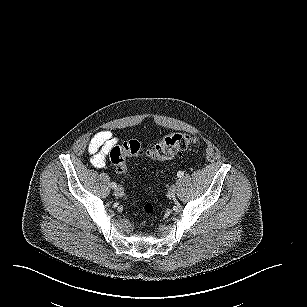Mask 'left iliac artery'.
<instances>
[{"mask_svg":"<svg viewBox=\"0 0 307 307\" xmlns=\"http://www.w3.org/2000/svg\"><path fill=\"white\" fill-rule=\"evenodd\" d=\"M177 176H178L179 178H181V177L184 176V173H183L182 171H179V172L177 173Z\"/></svg>","mask_w":307,"mask_h":307,"instance_id":"1","label":"left iliac artery"}]
</instances>
